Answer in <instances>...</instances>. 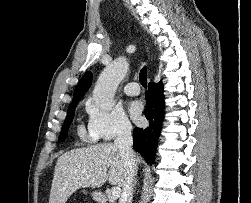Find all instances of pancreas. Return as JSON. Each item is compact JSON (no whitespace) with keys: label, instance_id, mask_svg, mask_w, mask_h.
I'll return each instance as SVG.
<instances>
[{"label":"pancreas","instance_id":"cf45deb5","mask_svg":"<svg viewBox=\"0 0 251 203\" xmlns=\"http://www.w3.org/2000/svg\"><path fill=\"white\" fill-rule=\"evenodd\" d=\"M107 201H108V203H114V199H111L109 197H108Z\"/></svg>","mask_w":251,"mask_h":203}]
</instances>
